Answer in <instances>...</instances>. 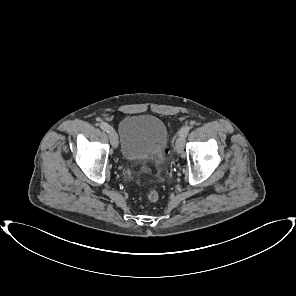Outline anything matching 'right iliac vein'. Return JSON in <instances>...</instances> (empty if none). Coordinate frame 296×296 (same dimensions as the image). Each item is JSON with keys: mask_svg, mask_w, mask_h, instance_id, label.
Returning <instances> with one entry per match:
<instances>
[{"mask_svg": "<svg viewBox=\"0 0 296 296\" xmlns=\"http://www.w3.org/2000/svg\"><path fill=\"white\" fill-rule=\"evenodd\" d=\"M108 133H109V138H110V142H111L112 146L114 148H117V146H118V137H117L116 132L112 128H110Z\"/></svg>", "mask_w": 296, "mask_h": 296, "instance_id": "right-iliac-vein-1", "label": "right iliac vein"}]
</instances>
